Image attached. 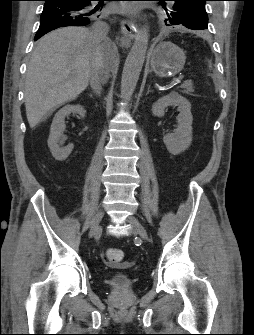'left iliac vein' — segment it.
Masks as SVG:
<instances>
[{
	"label": "left iliac vein",
	"instance_id": "left-iliac-vein-1",
	"mask_svg": "<svg viewBox=\"0 0 254 335\" xmlns=\"http://www.w3.org/2000/svg\"><path fill=\"white\" fill-rule=\"evenodd\" d=\"M127 222L132 226V228L139 234V236L144 240H148V234L144 226L134 217L129 216Z\"/></svg>",
	"mask_w": 254,
	"mask_h": 335
}]
</instances>
